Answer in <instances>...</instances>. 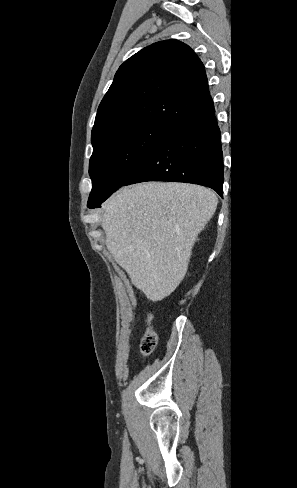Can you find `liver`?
<instances>
[{"label":"liver","instance_id":"6515ba94","mask_svg":"<svg viewBox=\"0 0 297 488\" xmlns=\"http://www.w3.org/2000/svg\"><path fill=\"white\" fill-rule=\"evenodd\" d=\"M217 203L212 190L194 184L123 188L103 207L107 249L136 288L160 301L184 278L196 238Z\"/></svg>","mask_w":297,"mask_h":488}]
</instances>
